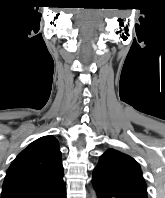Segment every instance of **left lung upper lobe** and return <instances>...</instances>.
<instances>
[{
    "mask_svg": "<svg viewBox=\"0 0 165 198\" xmlns=\"http://www.w3.org/2000/svg\"><path fill=\"white\" fill-rule=\"evenodd\" d=\"M102 177L125 190L147 198L146 183L139 164L132 157L109 149L94 169Z\"/></svg>",
    "mask_w": 165,
    "mask_h": 198,
    "instance_id": "5c2ea615",
    "label": "left lung upper lobe"
}]
</instances>
